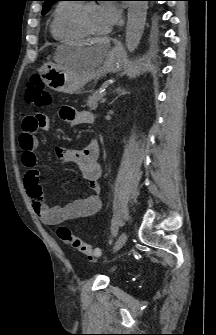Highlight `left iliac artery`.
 I'll list each match as a JSON object with an SVG mask.
<instances>
[{
  "label": "left iliac artery",
  "instance_id": "1",
  "mask_svg": "<svg viewBox=\"0 0 216 335\" xmlns=\"http://www.w3.org/2000/svg\"><path fill=\"white\" fill-rule=\"evenodd\" d=\"M118 232H119L118 225H116V224L112 225V227H111V234H112V236L113 237H117Z\"/></svg>",
  "mask_w": 216,
  "mask_h": 335
}]
</instances>
